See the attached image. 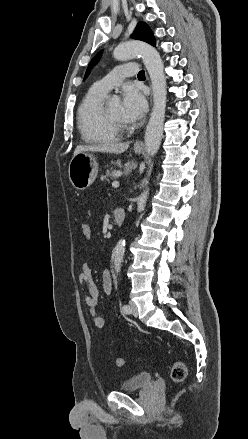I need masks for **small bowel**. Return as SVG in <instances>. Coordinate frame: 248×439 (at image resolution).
<instances>
[{"label":"small bowel","instance_id":"c3829d8e","mask_svg":"<svg viewBox=\"0 0 248 439\" xmlns=\"http://www.w3.org/2000/svg\"><path fill=\"white\" fill-rule=\"evenodd\" d=\"M102 287L105 294L112 293V277L108 269L102 271ZM80 285L83 289L84 300L89 307V314L92 317L93 325L96 328H103L105 326V319L98 314L97 304L99 297V290L92 278L91 266L84 263L78 276Z\"/></svg>","mask_w":248,"mask_h":439}]
</instances>
